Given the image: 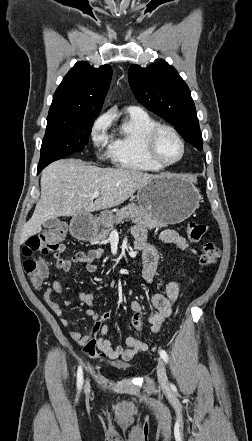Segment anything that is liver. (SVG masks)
<instances>
[{"label": "liver", "mask_w": 252, "mask_h": 441, "mask_svg": "<svg viewBox=\"0 0 252 441\" xmlns=\"http://www.w3.org/2000/svg\"><path fill=\"white\" fill-rule=\"evenodd\" d=\"M154 177L132 169L86 165L76 159L53 162L42 171L41 198L23 227L20 244L38 234L49 219L118 206ZM94 192L100 195L93 202Z\"/></svg>", "instance_id": "6515ba94"}]
</instances>
